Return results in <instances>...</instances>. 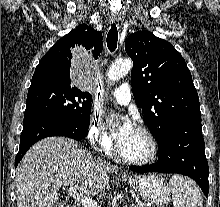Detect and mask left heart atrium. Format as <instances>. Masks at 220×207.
Instances as JSON below:
<instances>
[{"instance_id": "left-heart-atrium-1", "label": "left heart atrium", "mask_w": 220, "mask_h": 207, "mask_svg": "<svg viewBox=\"0 0 220 207\" xmlns=\"http://www.w3.org/2000/svg\"><path fill=\"white\" fill-rule=\"evenodd\" d=\"M134 130L133 123L126 119L122 125V127L119 129V131L116 133V137L118 140L125 137L126 135L130 134Z\"/></svg>"}]
</instances>
